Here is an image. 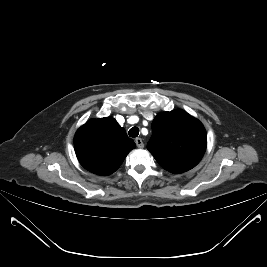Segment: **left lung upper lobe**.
<instances>
[{"label":"left lung upper lobe","instance_id":"left-lung-upper-lobe-1","mask_svg":"<svg viewBox=\"0 0 267 267\" xmlns=\"http://www.w3.org/2000/svg\"><path fill=\"white\" fill-rule=\"evenodd\" d=\"M207 146L199 120L183 110L159 113L152 123L147 149L165 170L178 174L195 167Z\"/></svg>","mask_w":267,"mask_h":267}]
</instances>
